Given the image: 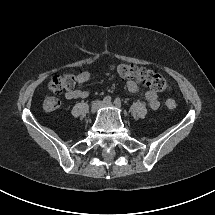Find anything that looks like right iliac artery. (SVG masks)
<instances>
[{
    "label": "right iliac artery",
    "instance_id": "1",
    "mask_svg": "<svg viewBox=\"0 0 215 215\" xmlns=\"http://www.w3.org/2000/svg\"><path fill=\"white\" fill-rule=\"evenodd\" d=\"M111 101V97L110 96H106V97H104V99H103V102L104 103H108V102H110Z\"/></svg>",
    "mask_w": 215,
    "mask_h": 215
}]
</instances>
